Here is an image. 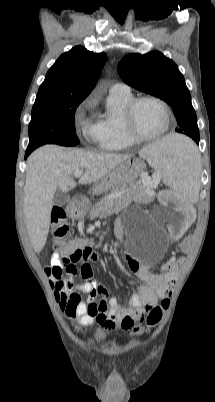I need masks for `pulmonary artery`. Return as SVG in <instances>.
I'll return each mask as SVG.
<instances>
[{
	"label": "pulmonary artery",
	"mask_w": 215,
	"mask_h": 402,
	"mask_svg": "<svg viewBox=\"0 0 215 402\" xmlns=\"http://www.w3.org/2000/svg\"><path fill=\"white\" fill-rule=\"evenodd\" d=\"M110 91H114V92H128L130 91V88L128 85L124 84V83H115L111 86Z\"/></svg>",
	"instance_id": "pulmonary-artery-1"
}]
</instances>
